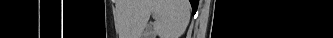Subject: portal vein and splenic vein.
<instances>
[{"label":"portal vein and splenic vein","instance_id":"1","mask_svg":"<svg viewBox=\"0 0 333 38\" xmlns=\"http://www.w3.org/2000/svg\"><path fill=\"white\" fill-rule=\"evenodd\" d=\"M155 16H156V15H155V14H153V18H155Z\"/></svg>","mask_w":333,"mask_h":38}]
</instances>
